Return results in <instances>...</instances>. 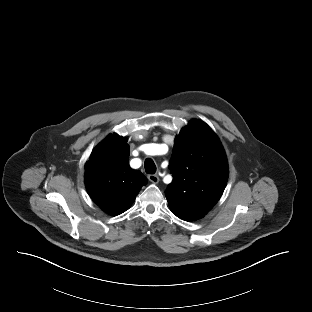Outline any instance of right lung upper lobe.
Masks as SVG:
<instances>
[{"instance_id": "obj_1", "label": "right lung upper lobe", "mask_w": 312, "mask_h": 312, "mask_svg": "<svg viewBox=\"0 0 312 312\" xmlns=\"http://www.w3.org/2000/svg\"><path fill=\"white\" fill-rule=\"evenodd\" d=\"M85 185L92 200L115 216L126 211L147 178L129 166V146L124 137L110 134L85 164Z\"/></svg>"}]
</instances>
